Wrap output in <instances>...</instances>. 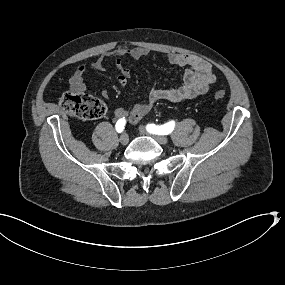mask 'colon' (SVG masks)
<instances>
[{"label":"colon","mask_w":285,"mask_h":285,"mask_svg":"<svg viewBox=\"0 0 285 285\" xmlns=\"http://www.w3.org/2000/svg\"><path fill=\"white\" fill-rule=\"evenodd\" d=\"M226 93L222 89H218L214 93V98L221 101L225 98ZM60 106L71 116L82 120H94L101 118L106 113L105 104L88 94L83 92L69 91L60 99Z\"/></svg>","instance_id":"colon-1"}]
</instances>
